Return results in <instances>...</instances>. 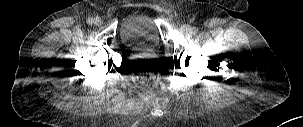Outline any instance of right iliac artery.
Returning <instances> with one entry per match:
<instances>
[{
	"label": "right iliac artery",
	"instance_id": "1",
	"mask_svg": "<svg viewBox=\"0 0 303 127\" xmlns=\"http://www.w3.org/2000/svg\"><path fill=\"white\" fill-rule=\"evenodd\" d=\"M86 22H87V24L91 25V24L94 23V19H93V18H88V19L86 20Z\"/></svg>",
	"mask_w": 303,
	"mask_h": 127
}]
</instances>
